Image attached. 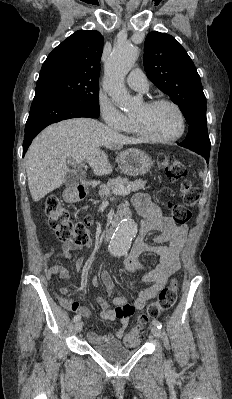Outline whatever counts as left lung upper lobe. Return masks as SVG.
I'll return each mask as SVG.
<instances>
[{
  "label": "left lung upper lobe",
  "mask_w": 232,
  "mask_h": 399,
  "mask_svg": "<svg viewBox=\"0 0 232 399\" xmlns=\"http://www.w3.org/2000/svg\"><path fill=\"white\" fill-rule=\"evenodd\" d=\"M143 64L147 77L176 103L188 125L180 146L210 153L206 97L200 76L186 50L171 35L151 32L145 39Z\"/></svg>",
  "instance_id": "obj_1"
}]
</instances>
